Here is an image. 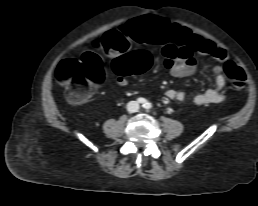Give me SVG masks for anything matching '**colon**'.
I'll use <instances>...</instances> for the list:
<instances>
[{"instance_id": "1", "label": "colon", "mask_w": 258, "mask_h": 206, "mask_svg": "<svg viewBox=\"0 0 258 206\" xmlns=\"http://www.w3.org/2000/svg\"><path fill=\"white\" fill-rule=\"evenodd\" d=\"M151 63L149 54L134 52L115 59L114 68L122 75H138L146 72ZM224 73L233 88L241 89L245 86L246 75L236 61H227ZM55 76L58 83L66 89V98L72 104L85 102L105 79L102 60L93 51L85 52L80 58L63 60L58 65Z\"/></svg>"}]
</instances>
